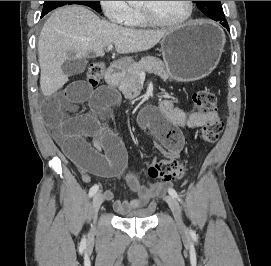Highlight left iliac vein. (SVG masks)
Masks as SVG:
<instances>
[{
  "mask_svg": "<svg viewBox=\"0 0 271 266\" xmlns=\"http://www.w3.org/2000/svg\"><path fill=\"white\" fill-rule=\"evenodd\" d=\"M165 201L167 202V204L169 205V207L173 213V216L175 218V221H176L178 228L181 231H184L185 226H184V223L182 220L181 207H180L178 201L172 196H166Z\"/></svg>",
  "mask_w": 271,
  "mask_h": 266,
  "instance_id": "1",
  "label": "left iliac vein"
}]
</instances>
